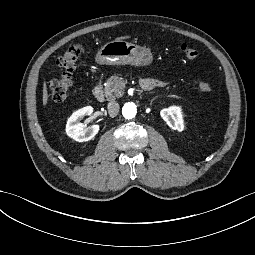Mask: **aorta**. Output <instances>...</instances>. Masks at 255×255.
Listing matches in <instances>:
<instances>
[{"label":"aorta","instance_id":"762f6f07","mask_svg":"<svg viewBox=\"0 0 255 255\" xmlns=\"http://www.w3.org/2000/svg\"><path fill=\"white\" fill-rule=\"evenodd\" d=\"M137 108L134 103H126L122 108V114L126 119H133L136 116Z\"/></svg>","mask_w":255,"mask_h":255}]
</instances>
